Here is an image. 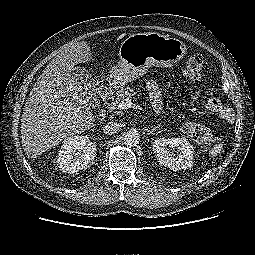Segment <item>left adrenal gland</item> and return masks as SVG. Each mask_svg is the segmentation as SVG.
I'll list each match as a JSON object with an SVG mask.
<instances>
[{
	"instance_id": "a2214340",
	"label": "left adrenal gland",
	"mask_w": 255,
	"mask_h": 255,
	"mask_svg": "<svg viewBox=\"0 0 255 255\" xmlns=\"http://www.w3.org/2000/svg\"><path fill=\"white\" fill-rule=\"evenodd\" d=\"M159 126H157V127H153L152 128V130H147V133L148 134H152L153 133V131L155 130V129H157Z\"/></svg>"
}]
</instances>
